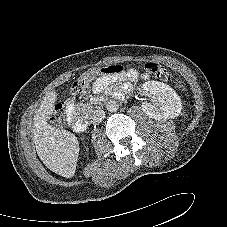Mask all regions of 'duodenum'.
<instances>
[{"instance_id": "obj_1", "label": "duodenum", "mask_w": 227, "mask_h": 227, "mask_svg": "<svg viewBox=\"0 0 227 227\" xmlns=\"http://www.w3.org/2000/svg\"><path fill=\"white\" fill-rule=\"evenodd\" d=\"M66 116L71 122L72 127L77 132H83L89 127V122L82 116L76 114L75 108L70 106L66 110Z\"/></svg>"}]
</instances>
